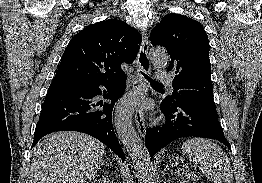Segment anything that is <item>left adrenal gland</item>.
I'll return each instance as SVG.
<instances>
[{"mask_svg": "<svg viewBox=\"0 0 262 183\" xmlns=\"http://www.w3.org/2000/svg\"><path fill=\"white\" fill-rule=\"evenodd\" d=\"M166 171H170L171 173H173V169L169 168L168 165L165 166L163 173H165Z\"/></svg>", "mask_w": 262, "mask_h": 183, "instance_id": "obj_1", "label": "left adrenal gland"}]
</instances>
